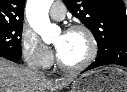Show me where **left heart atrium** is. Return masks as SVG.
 <instances>
[{
  "mask_svg": "<svg viewBox=\"0 0 127 92\" xmlns=\"http://www.w3.org/2000/svg\"><path fill=\"white\" fill-rule=\"evenodd\" d=\"M56 51H57V53L60 52V46H56Z\"/></svg>",
  "mask_w": 127,
  "mask_h": 92,
  "instance_id": "obj_1",
  "label": "left heart atrium"
}]
</instances>
